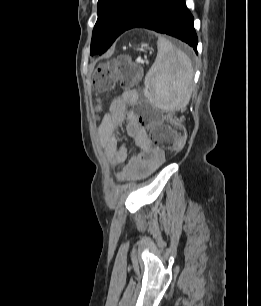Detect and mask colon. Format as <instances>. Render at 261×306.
<instances>
[{
  "instance_id": "colon-1",
  "label": "colon",
  "mask_w": 261,
  "mask_h": 306,
  "mask_svg": "<svg viewBox=\"0 0 261 306\" xmlns=\"http://www.w3.org/2000/svg\"><path fill=\"white\" fill-rule=\"evenodd\" d=\"M140 78L139 67L127 56H120L98 65L94 71L93 84L100 91L110 89L114 84L125 91H131ZM139 121L150 129L153 144L161 149H177L183 142V136L170 126L161 122L159 114L151 108L137 110Z\"/></svg>"
}]
</instances>
